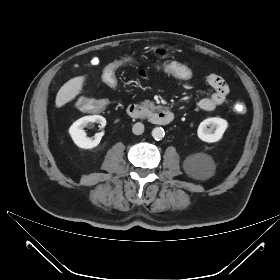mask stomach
Wrapping results in <instances>:
<instances>
[{
	"label": "stomach",
	"instance_id": "0dacf381",
	"mask_svg": "<svg viewBox=\"0 0 280 280\" xmlns=\"http://www.w3.org/2000/svg\"><path fill=\"white\" fill-rule=\"evenodd\" d=\"M153 50H154V53L161 58H164V57H167L170 55V49L164 44L154 46Z\"/></svg>",
	"mask_w": 280,
	"mask_h": 280
}]
</instances>
